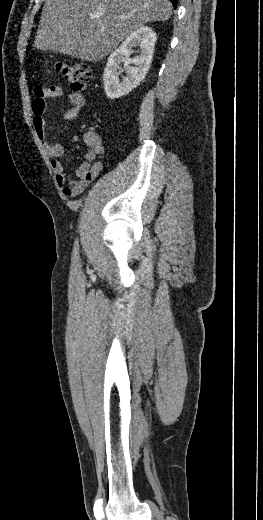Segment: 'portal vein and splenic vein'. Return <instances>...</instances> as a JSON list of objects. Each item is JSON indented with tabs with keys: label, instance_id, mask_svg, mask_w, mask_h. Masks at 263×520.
<instances>
[{
	"label": "portal vein and splenic vein",
	"instance_id": "portal-vein-and-splenic-vein-1",
	"mask_svg": "<svg viewBox=\"0 0 263 520\" xmlns=\"http://www.w3.org/2000/svg\"><path fill=\"white\" fill-rule=\"evenodd\" d=\"M90 17H91V18H99V17H100V14H99V13H98V14H93V15H91ZM121 18L124 19L125 17H124V16H121Z\"/></svg>",
	"mask_w": 263,
	"mask_h": 520
}]
</instances>
